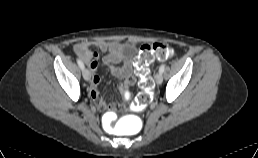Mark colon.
<instances>
[{"instance_id":"5ec220e1","label":"colon","mask_w":258,"mask_h":158,"mask_svg":"<svg viewBox=\"0 0 258 158\" xmlns=\"http://www.w3.org/2000/svg\"><path fill=\"white\" fill-rule=\"evenodd\" d=\"M173 54V49L162 42L144 44L140 47L139 53L134 59L136 73L139 77L140 93L136 102L130 107L132 111L138 112L145 109L152 100L153 82L150 77L149 65L154 60H168Z\"/></svg>"}]
</instances>
